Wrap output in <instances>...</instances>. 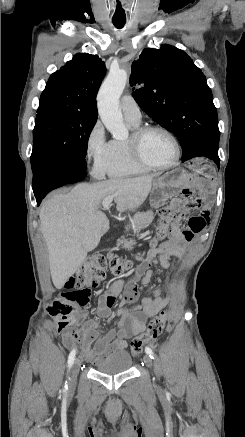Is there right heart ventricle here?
Wrapping results in <instances>:
<instances>
[{"label": "right heart ventricle", "instance_id": "right-heart-ventricle-1", "mask_svg": "<svg viewBox=\"0 0 245 437\" xmlns=\"http://www.w3.org/2000/svg\"><path fill=\"white\" fill-rule=\"evenodd\" d=\"M132 128L139 123L130 122ZM151 169L137 163L130 155L126 140H112L105 173L110 178H126L148 173Z\"/></svg>", "mask_w": 245, "mask_h": 437}]
</instances>
